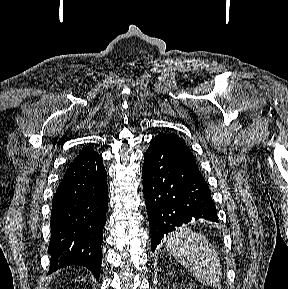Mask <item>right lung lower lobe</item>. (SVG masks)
I'll use <instances>...</instances> for the list:
<instances>
[{
	"mask_svg": "<svg viewBox=\"0 0 288 289\" xmlns=\"http://www.w3.org/2000/svg\"><path fill=\"white\" fill-rule=\"evenodd\" d=\"M107 190V172L98 153L77 156L70 163L52 201L49 273L76 264L99 278Z\"/></svg>",
	"mask_w": 288,
	"mask_h": 289,
	"instance_id": "98d812e1",
	"label": "right lung lower lobe"
}]
</instances>
